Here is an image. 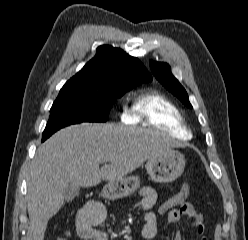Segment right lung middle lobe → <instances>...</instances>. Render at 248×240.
Instances as JSON below:
<instances>
[{
    "mask_svg": "<svg viewBox=\"0 0 248 240\" xmlns=\"http://www.w3.org/2000/svg\"><path fill=\"white\" fill-rule=\"evenodd\" d=\"M140 83L127 81L117 87L105 89H61L50 109L42 140L71 124L106 122L116 99Z\"/></svg>",
    "mask_w": 248,
    "mask_h": 240,
    "instance_id": "right-lung-middle-lobe-1",
    "label": "right lung middle lobe"
}]
</instances>
